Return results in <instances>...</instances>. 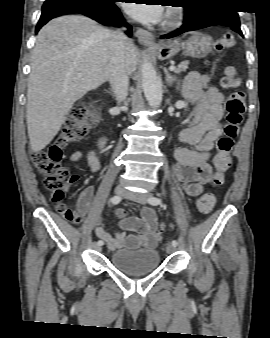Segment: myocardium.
Returning a JSON list of instances; mask_svg holds the SVG:
<instances>
[{"instance_id":"f54148a6","label":"myocardium","mask_w":270,"mask_h":338,"mask_svg":"<svg viewBox=\"0 0 270 338\" xmlns=\"http://www.w3.org/2000/svg\"><path fill=\"white\" fill-rule=\"evenodd\" d=\"M184 19V11L182 8L177 6H171L167 14L161 23V28L164 30H170L181 25Z\"/></svg>"}]
</instances>
